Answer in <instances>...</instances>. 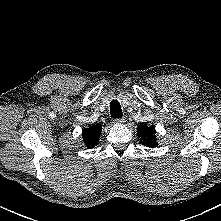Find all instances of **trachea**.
Here are the masks:
<instances>
[{"label": "trachea", "mask_w": 221, "mask_h": 221, "mask_svg": "<svg viewBox=\"0 0 221 221\" xmlns=\"http://www.w3.org/2000/svg\"><path fill=\"white\" fill-rule=\"evenodd\" d=\"M110 113L112 118H121L123 113L121 106L117 100H112L110 102Z\"/></svg>", "instance_id": "1"}]
</instances>
